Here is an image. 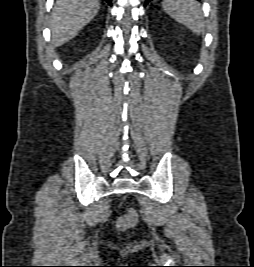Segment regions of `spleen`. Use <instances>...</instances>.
<instances>
[{"label":"spleen","instance_id":"3e777b00","mask_svg":"<svg viewBox=\"0 0 254 267\" xmlns=\"http://www.w3.org/2000/svg\"><path fill=\"white\" fill-rule=\"evenodd\" d=\"M162 7L172 18L195 34L199 35L205 31L201 6L196 0H163Z\"/></svg>","mask_w":254,"mask_h":267}]
</instances>
